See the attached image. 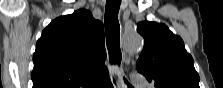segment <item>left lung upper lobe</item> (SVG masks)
Segmentation results:
<instances>
[{"label": "left lung upper lobe", "mask_w": 223, "mask_h": 88, "mask_svg": "<svg viewBox=\"0 0 223 88\" xmlns=\"http://www.w3.org/2000/svg\"><path fill=\"white\" fill-rule=\"evenodd\" d=\"M137 31L144 37V48L137 70L155 88H200L199 75L183 40L161 23L143 21Z\"/></svg>", "instance_id": "5c2ea615"}]
</instances>
